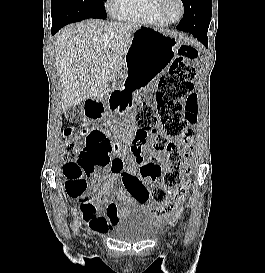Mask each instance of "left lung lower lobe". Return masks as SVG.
<instances>
[{
    "label": "left lung lower lobe",
    "instance_id": "0a47b994",
    "mask_svg": "<svg viewBox=\"0 0 265 273\" xmlns=\"http://www.w3.org/2000/svg\"><path fill=\"white\" fill-rule=\"evenodd\" d=\"M212 7V0H192V5L184 11V16L177 26L180 31L191 33L203 45L208 46L205 14Z\"/></svg>",
    "mask_w": 265,
    "mask_h": 273
}]
</instances>
